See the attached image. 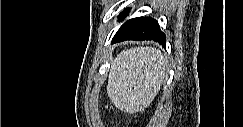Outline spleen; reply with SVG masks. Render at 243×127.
<instances>
[{
	"label": "spleen",
	"mask_w": 243,
	"mask_h": 127,
	"mask_svg": "<svg viewBox=\"0 0 243 127\" xmlns=\"http://www.w3.org/2000/svg\"><path fill=\"white\" fill-rule=\"evenodd\" d=\"M166 58L152 47L122 51L112 61L107 94L120 110L136 112L147 107L166 78Z\"/></svg>",
	"instance_id": "spleen-1"
}]
</instances>
